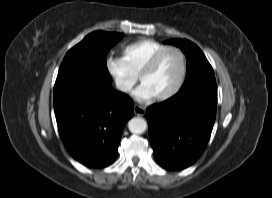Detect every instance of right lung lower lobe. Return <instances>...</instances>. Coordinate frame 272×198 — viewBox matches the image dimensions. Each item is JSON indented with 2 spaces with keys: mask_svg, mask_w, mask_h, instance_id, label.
I'll use <instances>...</instances> for the list:
<instances>
[{
  "mask_svg": "<svg viewBox=\"0 0 272 198\" xmlns=\"http://www.w3.org/2000/svg\"><path fill=\"white\" fill-rule=\"evenodd\" d=\"M54 111L70 155L88 167L102 168L116 159L134 105L111 86L80 83L54 94Z\"/></svg>",
  "mask_w": 272,
  "mask_h": 198,
  "instance_id": "obj_1",
  "label": "right lung lower lobe"
}]
</instances>
